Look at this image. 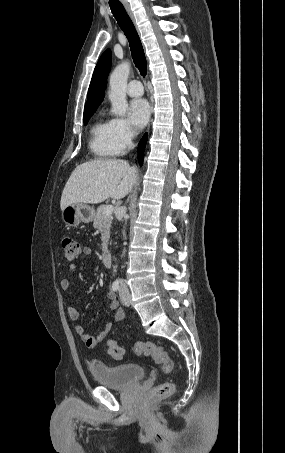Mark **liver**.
<instances>
[{"instance_id": "6515ba94", "label": "liver", "mask_w": 285, "mask_h": 453, "mask_svg": "<svg viewBox=\"0 0 285 453\" xmlns=\"http://www.w3.org/2000/svg\"><path fill=\"white\" fill-rule=\"evenodd\" d=\"M137 169L120 159H97L75 168L61 196L60 207L75 203L97 204L111 197L122 199L131 192Z\"/></svg>"}]
</instances>
